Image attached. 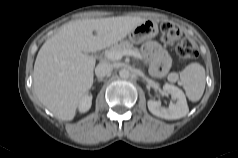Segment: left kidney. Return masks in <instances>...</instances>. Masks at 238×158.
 <instances>
[{
	"label": "left kidney",
	"mask_w": 238,
	"mask_h": 158,
	"mask_svg": "<svg viewBox=\"0 0 238 158\" xmlns=\"http://www.w3.org/2000/svg\"><path fill=\"white\" fill-rule=\"evenodd\" d=\"M163 90L170 94L175 103H170L169 108L161 107V103L155 100H149L147 105L149 111L160 118L167 120L180 119L189 112L186 97L182 90L171 84H164Z\"/></svg>",
	"instance_id": "obj_1"
}]
</instances>
